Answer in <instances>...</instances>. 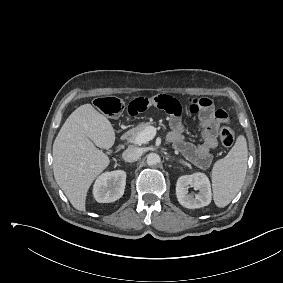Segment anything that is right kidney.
<instances>
[{"label":"right kidney","mask_w":283,"mask_h":283,"mask_svg":"<svg viewBox=\"0 0 283 283\" xmlns=\"http://www.w3.org/2000/svg\"><path fill=\"white\" fill-rule=\"evenodd\" d=\"M126 172L116 170L100 175L95 181L93 195L99 203L114 202L124 194Z\"/></svg>","instance_id":"right-kidney-1"}]
</instances>
